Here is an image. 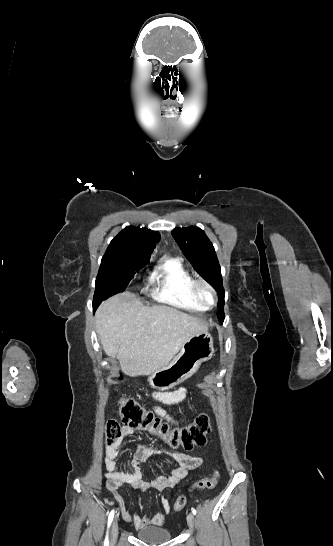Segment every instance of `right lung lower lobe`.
Masks as SVG:
<instances>
[{
  "mask_svg": "<svg viewBox=\"0 0 333 546\" xmlns=\"http://www.w3.org/2000/svg\"><path fill=\"white\" fill-rule=\"evenodd\" d=\"M97 308V306L95 304H93V309L95 310Z\"/></svg>",
  "mask_w": 333,
  "mask_h": 546,
  "instance_id": "98d812e1",
  "label": "right lung lower lobe"
}]
</instances>
